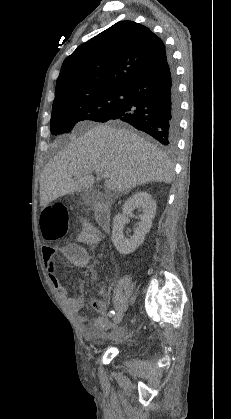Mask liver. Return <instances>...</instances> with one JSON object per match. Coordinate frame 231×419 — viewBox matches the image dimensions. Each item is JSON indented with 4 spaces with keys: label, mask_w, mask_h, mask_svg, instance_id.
Here are the masks:
<instances>
[{
    "label": "liver",
    "mask_w": 231,
    "mask_h": 419,
    "mask_svg": "<svg viewBox=\"0 0 231 419\" xmlns=\"http://www.w3.org/2000/svg\"><path fill=\"white\" fill-rule=\"evenodd\" d=\"M79 172L78 180H73ZM93 172L107 173L105 188L129 191L149 182L170 183L172 166L156 145L126 128L94 126L72 140L44 168L40 178V205L94 183Z\"/></svg>",
    "instance_id": "liver-1"
}]
</instances>
